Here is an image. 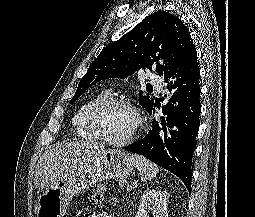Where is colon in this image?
I'll return each instance as SVG.
<instances>
[{"label":"colon","instance_id":"colon-1","mask_svg":"<svg viewBox=\"0 0 255 217\" xmlns=\"http://www.w3.org/2000/svg\"><path fill=\"white\" fill-rule=\"evenodd\" d=\"M96 196H97V198H98V199H100V198H101V196H102V192H101V190H99V191L97 192Z\"/></svg>","mask_w":255,"mask_h":217}]
</instances>
